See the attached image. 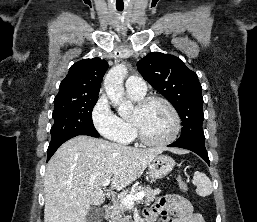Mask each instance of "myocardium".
<instances>
[{
  "mask_svg": "<svg viewBox=\"0 0 257 222\" xmlns=\"http://www.w3.org/2000/svg\"><path fill=\"white\" fill-rule=\"evenodd\" d=\"M159 102L164 104L168 110L170 111L172 117H173V122H174V128L171 133V135L163 140L160 141H152L148 139L143 132L141 131V128L138 123L137 115L145 110L150 104ZM135 114L133 113L130 117V122L134 131L135 136L145 145L147 146H152V147H162V146H167L171 143H173L181 130V118L174 107V105L166 98L160 97V96H148L145 98H142L140 101H138L136 107H135Z\"/></svg>",
  "mask_w": 257,
  "mask_h": 222,
  "instance_id": "f54148a6",
  "label": "myocardium"
}]
</instances>
